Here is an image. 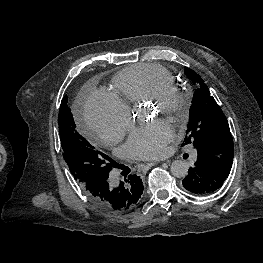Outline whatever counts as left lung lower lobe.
Wrapping results in <instances>:
<instances>
[{
    "label": "left lung lower lobe",
    "mask_w": 263,
    "mask_h": 263,
    "mask_svg": "<svg viewBox=\"0 0 263 263\" xmlns=\"http://www.w3.org/2000/svg\"><path fill=\"white\" fill-rule=\"evenodd\" d=\"M198 159L183 179L186 190L208 195L218 190L228 177L234 155L231 133L219 134L197 148Z\"/></svg>",
    "instance_id": "0a47b994"
}]
</instances>
